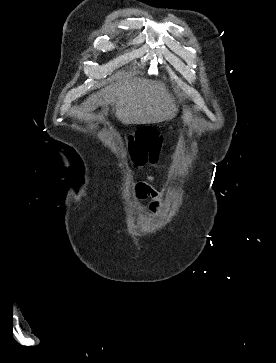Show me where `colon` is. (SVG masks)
Masks as SVG:
<instances>
[{
  "label": "colon",
  "instance_id": "1",
  "mask_svg": "<svg viewBox=\"0 0 276 363\" xmlns=\"http://www.w3.org/2000/svg\"><path fill=\"white\" fill-rule=\"evenodd\" d=\"M162 137L151 127L140 128L130 142L131 154L138 164L154 161L161 149Z\"/></svg>",
  "mask_w": 276,
  "mask_h": 363
}]
</instances>
